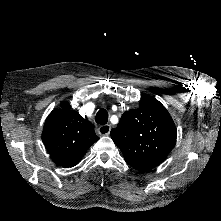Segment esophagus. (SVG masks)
I'll use <instances>...</instances> for the list:
<instances>
[{
	"label": "esophagus",
	"mask_w": 221,
	"mask_h": 221,
	"mask_svg": "<svg viewBox=\"0 0 221 221\" xmlns=\"http://www.w3.org/2000/svg\"><path fill=\"white\" fill-rule=\"evenodd\" d=\"M98 133L101 135V136H107L110 134V131H111V125L109 124H105V125H102V126H99L98 129H97Z\"/></svg>",
	"instance_id": "esophagus-1"
}]
</instances>
